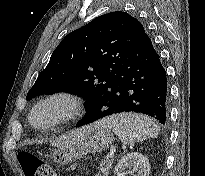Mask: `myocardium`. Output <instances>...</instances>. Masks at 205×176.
<instances>
[{"label": "myocardium", "instance_id": "f54148a6", "mask_svg": "<svg viewBox=\"0 0 205 176\" xmlns=\"http://www.w3.org/2000/svg\"><path fill=\"white\" fill-rule=\"evenodd\" d=\"M53 104L60 106L57 117L47 125L36 124L33 119L35 113L42 107ZM82 112L83 105L81 99L72 92L61 90L49 93L39 99L33 106L28 120L35 128H54L78 119L82 115Z\"/></svg>", "mask_w": 205, "mask_h": 176}]
</instances>
